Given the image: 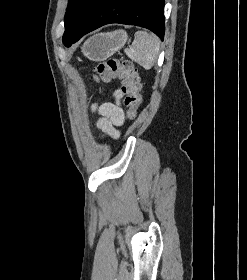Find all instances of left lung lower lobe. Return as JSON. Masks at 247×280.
I'll return each mask as SVG.
<instances>
[{
    "mask_svg": "<svg viewBox=\"0 0 247 280\" xmlns=\"http://www.w3.org/2000/svg\"><path fill=\"white\" fill-rule=\"evenodd\" d=\"M110 23L137 25L164 38V0H101L89 13L79 30L63 37L70 47L85 34Z\"/></svg>",
    "mask_w": 247,
    "mask_h": 280,
    "instance_id": "0a47b994",
    "label": "left lung lower lobe"
}]
</instances>
